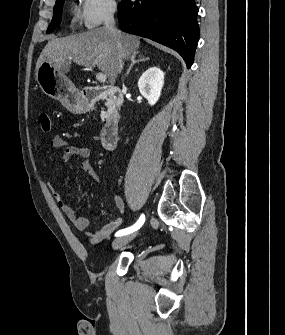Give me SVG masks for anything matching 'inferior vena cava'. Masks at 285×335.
Masks as SVG:
<instances>
[{
	"label": "inferior vena cava",
	"instance_id": "1",
	"mask_svg": "<svg viewBox=\"0 0 285 335\" xmlns=\"http://www.w3.org/2000/svg\"><path fill=\"white\" fill-rule=\"evenodd\" d=\"M117 10V4L114 2V0H107V6H106V16L104 18V26L109 30V32H113V34H118L119 30H116V24L114 20V14ZM118 50L120 52L119 54V72L123 66L122 64V58H124V52L121 48V44H118Z\"/></svg>",
	"mask_w": 285,
	"mask_h": 335
}]
</instances>
